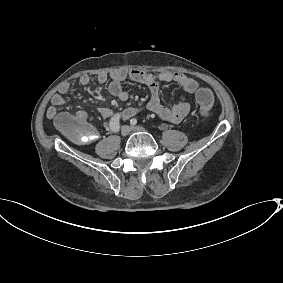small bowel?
Returning a JSON list of instances; mask_svg holds the SVG:
<instances>
[{
  "label": "small bowel",
  "mask_w": 283,
  "mask_h": 283,
  "mask_svg": "<svg viewBox=\"0 0 283 283\" xmlns=\"http://www.w3.org/2000/svg\"><path fill=\"white\" fill-rule=\"evenodd\" d=\"M110 81L108 90L111 95L118 98L121 101L128 99V93L123 88V83L127 80L145 84L150 90V98L144 108L128 107L122 112L124 119H128L141 110L146 109L161 119L171 122H181L189 113L190 105L185 96H181L172 106L168 107L162 104L160 92L161 88L166 83H175L180 86L187 94H195L198 90V83L195 79L183 74L170 71L161 72L158 74L148 73L139 69H120L112 72L111 74H99L97 76V82L99 84H105ZM78 85L86 87L90 84V78L88 75H81L76 79ZM70 90V83L64 82L59 86L58 92L53 95L51 99V106L47 109V117L56 121L60 115L58 109L67 102V94ZM99 114L103 119H109L113 113L110 109L100 107L98 109ZM76 117L80 120L87 121L88 114L85 111H79ZM97 137V133H96Z\"/></svg>",
  "instance_id": "c3829d8e"
}]
</instances>
